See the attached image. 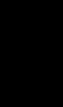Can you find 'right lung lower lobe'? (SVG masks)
<instances>
[{
	"label": "right lung lower lobe",
	"instance_id": "right-lung-lower-lobe-1",
	"mask_svg": "<svg viewBox=\"0 0 63 107\" xmlns=\"http://www.w3.org/2000/svg\"><path fill=\"white\" fill-rule=\"evenodd\" d=\"M20 48V39L12 32L7 31L0 37V75L9 73L17 60Z\"/></svg>",
	"mask_w": 63,
	"mask_h": 107
}]
</instances>
